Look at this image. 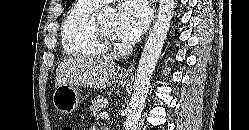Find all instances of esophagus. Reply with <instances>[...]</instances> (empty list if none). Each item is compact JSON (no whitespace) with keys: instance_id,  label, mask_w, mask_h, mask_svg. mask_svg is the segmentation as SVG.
Returning a JSON list of instances; mask_svg holds the SVG:
<instances>
[{"instance_id":"1","label":"esophagus","mask_w":249,"mask_h":130,"mask_svg":"<svg viewBox=\"0 0 249 130\" xmlns=\"http://www.w3.org/2000/svg\"><path fill=\"white\" fill-rule=\"evenodd\" d=\"M156 2H157V0H151V5H152V8H153V11H154V16H156ZM133 69H134V61H133V63H131L130 65H129V67L127 68V69H124L123 71H122V75L124 76V77H129V76H131L132 75V72H133Z\"/></svg>"}]
</instances>
